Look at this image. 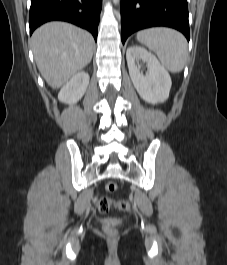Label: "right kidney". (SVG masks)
<instances>
[{
	"label": "right kidney",
	"mask_w": 227,
	"mask_h": 265,
	"mask_svg": "<svg viewBox=\"0 0 227 265\" xmlns=\"http://www.w3.org/2000/svg\"><path fill=\"white\" fill-rule=\"evenodd\" d=\"M89 85L88 73L81 71L75 74L60 90L59 101L65 104L78 102L85 94Z\"/></svg>",
	"instance_id": "ca27d5eb"
}]
</instances>
